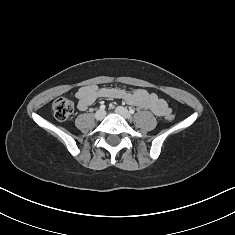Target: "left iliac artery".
I'll return each mask as SVG.
<instances>
[{
    "instance_id": "44dca946",
    "label": "left iliac artery",
    "mask_w": 235,
    "mask_h": 235,
    "mask_svg": "<svg viewBox=\"0 0 235 235\" xmlns=\"http://www.w3.org/2000/svg\"><path fill=\"white\" fill-rule=\"evenodd\" d=\"M129 113H130V114H134V113H135V110H134V109H130V110H129Z\"/></svg>"
}]
</instances>
